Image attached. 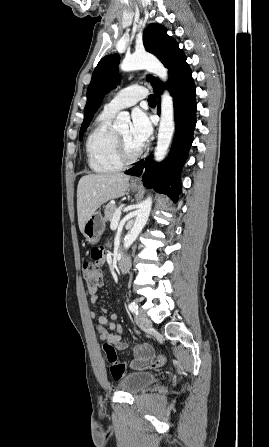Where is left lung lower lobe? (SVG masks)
Returning <instances> with one entry per match:
<instances>
[{
  "label": "left lung lower lobe",
  "mask_w": 269,
  "mask_h": 447,
  "mask_svg": "<svg viewBox=\"0 0 269 447\" xmlns=\"http://www.w3.org/2000/svg\"><path fill=\"white\" fill-rule=\"evenodd\" d=\"M191 74V69L186 63V56L181 53L169 74L167 83L174 101L176 126L169 158L163 163L156 164L150 155L146 161L142 160L125 172L128 175L140 176L145 168L142 178L144 186L153 187L159 193L168 194L175 202L181 192L177 172L180 171L188 156L196 125V94ZM163 89V84L154 89L158 96V114L160 113V94Z\"/></svg>",
  "instance_id": "obj_1"
}]
</instances>
